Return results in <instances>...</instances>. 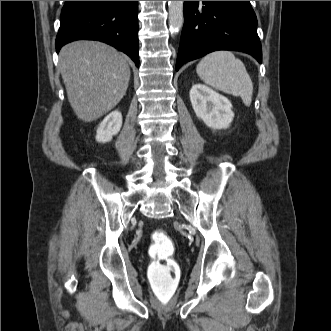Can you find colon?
<instances>
[{"label": "colon", "mask_w": 331, "mask_h": 331, "mask_svg": "<svg viewBox=\"0 0 331 331\" xmlns=\"http://www.w3.org/2000/svg\"><path fill=\"white\" fill-rule=\"evenodd\" d=\"M151 239L148 277L157 302L167 305L177 291L180 269L172 257L174 246L169 235L163 230H156Z\"/></svg>", "instance_id": "5ec220e1"}]
</instances>
